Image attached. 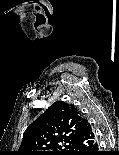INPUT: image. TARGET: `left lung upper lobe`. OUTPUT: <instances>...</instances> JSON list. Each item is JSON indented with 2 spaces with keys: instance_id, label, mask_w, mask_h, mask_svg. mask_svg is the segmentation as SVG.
<instances>
[{
  "instance_id": "1",
  "label": "left lung upper lobe",
  "mask_w": 119,
  "mask_h": 155,
  "mask_svg": "<svg viewBox=\"0 0 119 155\" xmlns=\"http://www.w3.org/2000/svg\"><path fill=\"white\" fill-rule=\"evenodd\" d=\"M81 119L74 105L56 101L28 126L15 155H76Z\"/></svg>"
}]
</instances>
